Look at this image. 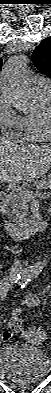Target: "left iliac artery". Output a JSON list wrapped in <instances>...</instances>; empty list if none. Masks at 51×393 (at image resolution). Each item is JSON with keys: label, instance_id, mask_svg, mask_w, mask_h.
I'll list each match as a JSON object with an SVG mask.
<instances>
[{"label": "left iliac artery", "instance_id": "left-iliac-artery-1", "mask_svg": "<svg viewBox=\"0 0 51 393\" xmlns=\"http://www.w3.org/2000/svg\"><path fill=\"white\" fill-rule=\"evenodd\" d=\"M35 277H36V274H35V273H31V272L28 273V276L24 278V283L21 285V288H24L25 285H26L28 282H31V280H32L33 278H35Z\"/></svg>", "mask_w": 51, "mask_h": 393}]
</instances>
